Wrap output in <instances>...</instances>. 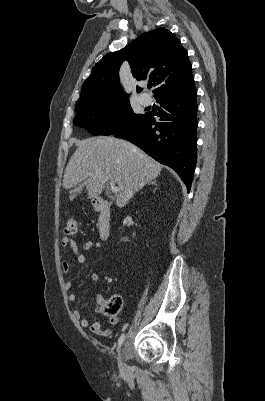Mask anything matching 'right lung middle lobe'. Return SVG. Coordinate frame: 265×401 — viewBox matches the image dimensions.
<instances>
[{"label": "right lung middle lobe", "mask_w": 265, "mask_h": 401, "mask_svg": "<svg viewBox=\"0 0 265 401\" xmlns=\"http://www.w3.org/2000/svg\"><path fill=\"white\" fill-rule=\"evenodd\" d=\"M74 124L93 135H111L140 121L145 114H135L128 97L103 95L76 105Z\"/></svg>", "instance_id": "obj_1"}]
</instances>
